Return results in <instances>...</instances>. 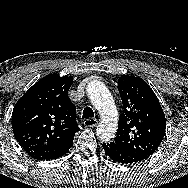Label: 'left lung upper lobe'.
I'll return each mask as SVG.
<instances>
[{"label": "left lung upper lobe", "mask_w": 188, "mask_h": 188, "mask_svg": "<svg viewBox=\"0 0 188 188\" xmlns=\"http://www.w3.org/2000/svg\"><path fill=\"white\" fill-rule=\"evenodd\" d=\"M117 88L124 110L119 116L113 142L147 159L165 135L166 118L160 102L150 86L139 77L121 76Z\"/></svg>", "instance_id": "5c2ea615"}]
</instances>
